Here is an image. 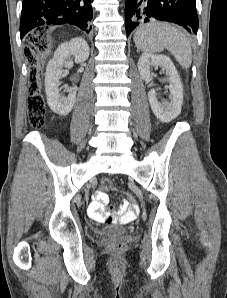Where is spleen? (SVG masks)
Masks as SVG:
<instances>
[{"label": "spleen", "mask_w": 227, "mask_h": 298, "mask_svg": "<svg viewBox=\"0 0 227 298\" xmlns=\"http://www.w3.org/2000/svg\"><path fill=\"white\" fill-rule=\"evenodd\" d=\"M134 42L146 53L167 49L183 68L192 63V49L187 36L175 26L165 22H151L137 29Z\"/></svg>", "instance_id": "spleen-1"}]
</instances>
